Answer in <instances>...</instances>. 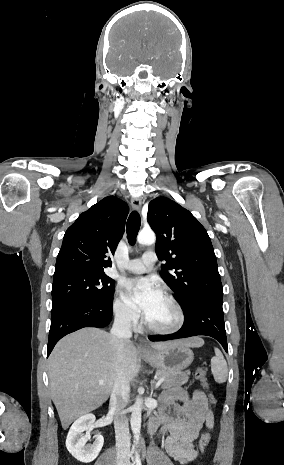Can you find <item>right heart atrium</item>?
Returning a JSON list of instances; mask_svg holds the SVG:
<instances>
[{
    "label": "right heart atrium",
    "mask_w": 284,
    "mask_h": 465,
    "mask_svg": "<svg viewBox=\"0 0 284 465\" xmlns=\"http://www.w3.org/2000/svg\"><path fill=\"white\" fill-rule=\"evenodd\" d=\"M111 311L114 319L124 327L132 328L138 322L136 312L117 294L112 301Z\"/></svg>",
    "instance_id": "d8ad5b80"
}]
</instances>
